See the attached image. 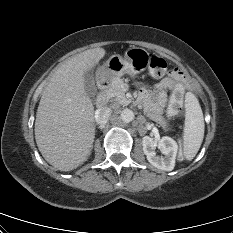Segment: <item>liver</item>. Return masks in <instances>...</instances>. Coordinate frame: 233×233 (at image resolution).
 <instances>
[{
    "label": "liver",
    "instance_id": "obj_1",
    "mask_svg": "<svg viewBox=\"0 0 233 233\" xmlns=\"http://www.w3.org/2000/svg\"><path fill=\"white\" fill-rule=\"evenodd\" d=\"M89 49L62 64L45 87L37 109L35 139L44 159L60 171L83 164L95 138L94 106L85 92L84 74L105 56Z\"/></svg>",
    "mask_w": 233,
    "mask_h": 233
}]
</instances>
